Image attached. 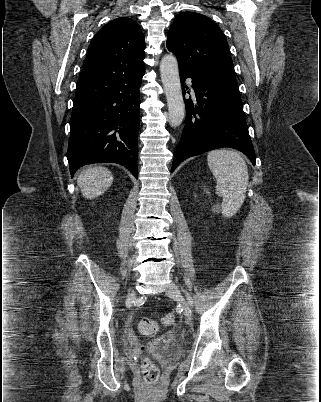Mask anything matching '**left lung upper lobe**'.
Segmentation results:
<instances>
[{"label": "left lung upper lobe", "instance_id": "obj_1", "mask_svg": "<svg viewBox=\"0 0 321 402\" xmlns=\"http://www.w3.org/2000/svg\"><path fill=\"white\" fill-rule=\"evenodd\" d=\"M166 46L176 55L179 68L236 79L227 40L209 17L193 12L179 14L169 29Z\"/></svg>", "mask_w": 321, "mask_h": 402}]
</instances>
